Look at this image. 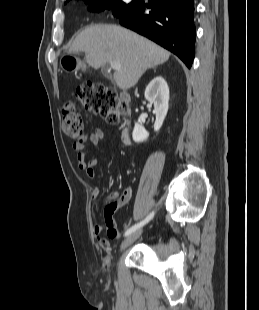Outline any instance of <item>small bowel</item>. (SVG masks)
I'll list each match as a JSON object with an SVG mask.
<instances>
[{
	"mask_svg": "<svg viewBox=\"0 0 259 310\" xmlns=\"http://www.w3.org/2000/svg\"><path fill=\"white\" fill-rule=\"evenodd\" d=\"M103 138H104V132L101 129H96L93 133L90 134L89 141L94 146H97L100 144ZM73 150L76 153V160L78 167L84 170L86 176L89 179H94L96 176L95 172V167L97 164L96 159L94 158L88 159L86 157L85 148L82 144L79 143L73 144ZM91 194L93 198H97L100 194L99 187L94 186ZM130 196H131V190L126 189L122 199L113 210L108 209V207L105 208L104 210L105 225L107 227V235L109 238L117 239L121 235V232L116 228V224L114 221V214L119 206L125 204L129 200ZM103 228L104 226L102 223H95L93 225V233L99 244L104 247H107L109 246V240L102 235Z\"/></svg>",
	"mask_w": 259,
	"mask_h": 310,
	"instance_id": "1",
	"label": "small bowel"
}]
</instances>
